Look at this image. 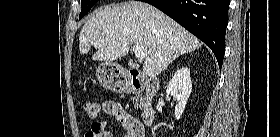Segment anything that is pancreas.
<instances>
[{
	"instance_id": "pancreas-1",
	"label": "pancreas",
	"mask_w": 280,
	"mask_h": 137,
	"mask_svg": "<svg viewBox=\"0 0 280 137\" xmlns=\"http://www.w3.org/2000/svg\"><path fill=\"white\" fill-rule=\"evenodd\" d=\"M133 100H135V98H133ZM139 104H138V100L136 99V102H135V107H138Z\"/></svg>"
}]
</instances>
